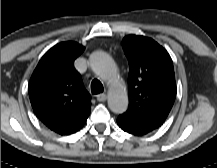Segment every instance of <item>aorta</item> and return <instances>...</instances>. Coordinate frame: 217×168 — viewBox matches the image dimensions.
<instances>
[{"label":"aorta","instance_id":"762f6f07","mask_svg":"<svg viewBox=\"0 0 217 168\" xmlns=\"http://www.w3.org/2000/svg\"><path fill=\"white\" fill-rule=\"evenodd\" d=\"M92 71L109 83L108 106L116 114L124 113L128 108V96L124 87L117 81V67L112 58L102 51L93 52L89 58Z\"/></svg>","mask_w":217,"mask_h":168}]
</instances>
